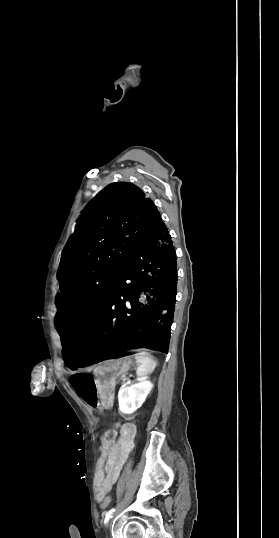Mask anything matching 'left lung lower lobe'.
I'll use <instances>...</instances> for the list:
<instances>
[{
	"label": "left lung lower lobe",
	"instance_id": "1",
	"mask_svg": "<svg viewBox=\"0 0 279 538\" xmlns=\"http://www.w3.org/2000/svg\"><path fill=\"white\" fill-rule=\"evenodd\" d=\"M176 254L159 216L125 264L89 327L61 335L66 365L85 367L134 348L168 353Z\"/></svg>",
	"mask_w": 279,
	"mask_h": 538
}]
</instances>
